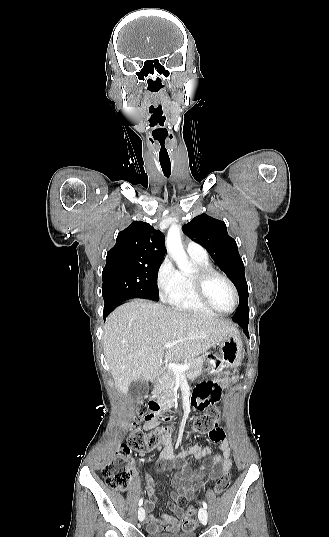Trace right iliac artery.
<instances>
[{"label": "right iliac artery", "instance_id": "obj_1", "mask_svg": "<svg viewBox=\"0 0 329 537\" xmlns=\"http://www.w3.org/2000/svg\"><path fill=\"white\" fill-rule=\"evenodd\" d=\"M142 504H143V498H141V499L139 500L138 505L141 506Z\"/></svg>", "mask_w": 329, "mask_h": 537}]
</instances>
